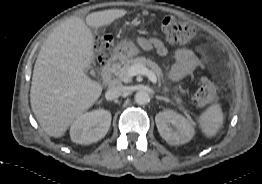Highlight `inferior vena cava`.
<instances>
[{"label": "inferior vena cava", "mask_w": 262, "mask_h": 184, "mask_svg": "<svg viewBox=\"0 0 262 184\" xmlns=\"http://www.w3.org/2000/svg\"><path fill=\"white\" fill-rule=\"evenodd\" d=\"M127 92L126 87L124 86H115L107 90L105 97L107 100H113L120 96H124Z\"/></svg>", "instance_id": "602c4592"}]
</instances>
